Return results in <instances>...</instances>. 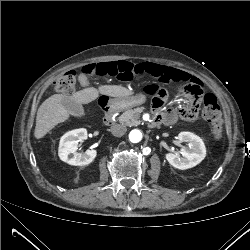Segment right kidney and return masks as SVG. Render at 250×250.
<instances>
[{
	"instance_id": "ca27d5eb",
	"label": "right kidney",
	"mask_w": 250,
	"mask_h": 250,
	"mask_svg": "<svg viewBox=\"0 0 250 250\" xmlns=\"http://www.w3.org/2000/svg\"><path fill=\"white\" fill-rule=\"evenodd\" d=\"M87 138V130L84 128L75 129L64 134L59 143V158L74 166L90 164L96 157L97 151L87 149L85 152H77L78 143Z\"/></svg>"
}]
</instances>
